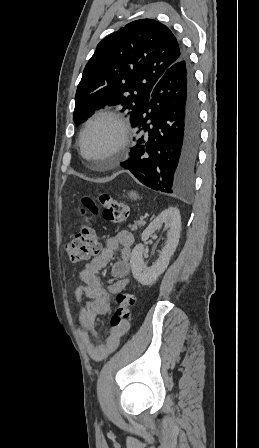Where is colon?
Segmentation results:
<instances>
[{
  "label": "colon",
  "instance_id": "5ec220e1",
  "mask_svg": "<svg viewBox=\"0 0 259 448\" xmlns=\"http://www.w3.org/2000/svg\"><path fill=\"white\" fill-rule=\"evenodd\" d=\"M82 213L101 214L104 219L121 223L129 216V207L106 192H99L97 199L83 196L81 199ZM71 262L78 263L87 260L98 253L99 245L95 230L85 221L82 231L76 234L66 246ZM135 303V296L131 290L123 291L116 296V307L111 317L113 327L122 325L130 315V309Z\"/></svg>",
  "mask_w": 259,
  "mask_h": 448
}]
</instances>
